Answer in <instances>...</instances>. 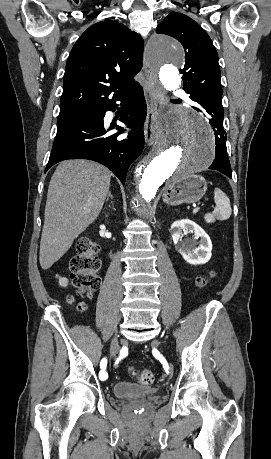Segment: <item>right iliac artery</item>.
<instances>
[{"label":"right iliac artery","mask_w":271,"mask_h":459,"mask_svg":"<svg viewBox=\"0 0 271 459\" xmlns=\"http://www.w3.org/2000/svg\"><path fill=\"white\" fill-rule=\"evenodd\" d=\"M106 365H107V359L106 358H103L101 360V363H100V367H101V374H103V377H104V381L105 382H108L111 380V377L109 375V373H107L106 371Z\"/></svg>","instance_id":"1"}]
</instances>
